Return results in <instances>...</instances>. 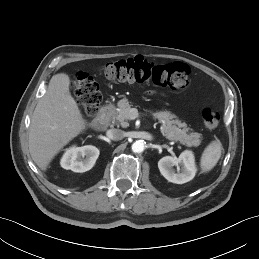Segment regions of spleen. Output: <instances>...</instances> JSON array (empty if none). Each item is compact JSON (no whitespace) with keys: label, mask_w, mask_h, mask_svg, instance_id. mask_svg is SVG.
<instances>
[{"label":"spleen","mask_w":259,"mask_h":259,"mask_svg":"<svg viewBox=\"0 0 259 259\" xmlns=\"http://www.w3.org/2000/svg\"><path fill=\"white\" fill-rule=\"evenodd\" d=\"M222 144L219 140L212 141L203 151L200 159L202 172H208L213 169L222 155Z\"/></svg>","instance_id":"1"}]
</instances>
